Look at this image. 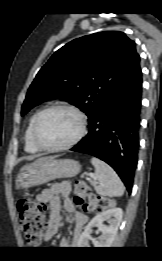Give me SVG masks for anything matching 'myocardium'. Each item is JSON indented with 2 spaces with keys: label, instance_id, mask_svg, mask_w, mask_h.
<instances>
[{
  "label": "myocardium",
  "instance_id": "obj_1",
  "mask_svg": "<svg viewBox=\"0 0 162 261\" xmlns=\"http://www.w3.org/2000/svg\"><path fill=\"white\" fill-rule=\"evenodd\" d=\"M57 109H63L72 112L78 119L79 129L77 134L70 141L58 146H47L44 145L39 139L38 136L39 125L41 119L46 113ZM86 130H87V118L80 109L68 103H55L50 106H47L46 108L38 112L33 124L32 139H33V143L38 149L43 151H48V152H58V151L67 150L75 146L77 143H79L82 140V138L85 136Z\"/></svg>",
  "mask_w": 162,
  "mask_h": 261
}]
</instances>
